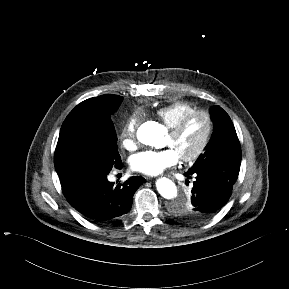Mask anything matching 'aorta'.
I'll use <instances>...</instances> for the list:
<instances>
[{
    "label": "aorta",
    "mask_w": 289,
    "mask_h": 289,
    "mask_svg": "<svg viewBox=\"0 0 289 289\" xmlns=\"http://www.w3.org/2000/svg\"><path fill=\"white\" fill-rule=\"evenodd\" d=\"M165 135V128L156 122H147L140 126L137 132L138 140L149 146L161 147L162 139ZM156 187L159 194L168 200H177V187L173 181L168 178L157 180ZM187 202L186 198H182Z\"/></svg>",
    "instance_id": "762f6f07"
}]
</instances>
